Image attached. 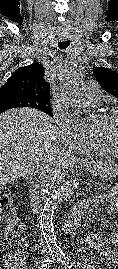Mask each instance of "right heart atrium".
<instances>
[{
	"instance_id": "d8ad5b80",
	"label": "right heart atrium",
	"mask_w": 118,
	"mask_h": 269,
	"mask_svg": "<svg viewBox=\"0 0 118 269\" xmlns=\"http://www.w3.org/2000/svg\"><path fill=\"white\" fill-rule=\"evenodd\" d=\"M55 120L60 127L63 141L75 149H84L94 138L82 130L70 116L55 112Z\"/></svg>"
}]
</instances>
